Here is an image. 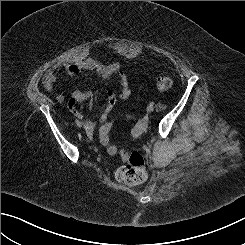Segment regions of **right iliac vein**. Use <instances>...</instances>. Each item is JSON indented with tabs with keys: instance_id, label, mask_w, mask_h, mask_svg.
I'll return each mask as SVG.
<instances>
[{
	"instance_id": "obj_1",
	"label": "right iliac vein",
	"mask_w": 245,
	"mask_h": 245,
	"mask_svg": "<svg viewBox=\"0 0 245 245\" xmlns=\"http://www.w3.org/2000/svg\"><path fill=\"white\" fill-rule=\"evenodd\" d=\"M83 126V123L81 122L80 124H79V127H82Z\"/></svg>"
}]
</instances>
